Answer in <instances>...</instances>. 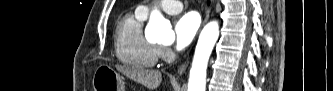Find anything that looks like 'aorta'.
Segmentation results:
<instances>
[{
    "label": "aorta",
    "instance_id": "aorta-1",
    "mask_svg": "<svg viewBox=\"0 0 333 91\" xmlns=\"http://www.w3.org/2000/svg\"><path fill=\"white\" fill-rule=\"evenodd\" d=\"M146 37L161 42L173 40L175 37L170 22L157 10L151 13L146 27ZM218 37V22L211 21L206 24L196 45L190 70L188 91H205L207 64Z\"/></svg>",
    "mask_w": 333,
    "mask_h": 91
}]
</instances>
